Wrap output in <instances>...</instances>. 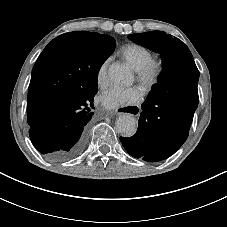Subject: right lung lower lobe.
I'll return each mask as SVG.
<instances>
[{"mask_svg": "<svg viewBox=\"0 0 227 227\" xmlns=\"http://www.w3.org/2000/svg\"><path fill=\"white\" fill-rule=\"evenodd\" d=\"M95 94L62 97L51 108L45 122L30 127L29 135L35 148L54 161L76 157L83 149L93 113L89 106Z\"/></svg>", "mask_w": 227, "mask_h": 227, "instance_id": "1", "label": "right lung lower lobe"}]
</instances>
